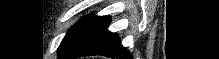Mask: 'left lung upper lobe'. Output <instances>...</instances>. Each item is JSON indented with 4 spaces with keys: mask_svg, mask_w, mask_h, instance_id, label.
Masks as SVG:
<instances>
[{
    "mask_svg": "<svg viewBox=\"0 0 219 59\" xmlns=\"http://www.w3.org/2000/svg\"><path fill=\"white\" fill-rule=\"evenodd\" d=\"M100 19V16L87 15L69 29L59 46L58 59H66L92 33Z\"/></svg>",
    "mask_w": 219,
    "mask_h": 59,
    "instance_id": "5c2ea615",
    "label": "left lung upper lobe"
}]
</instances>
